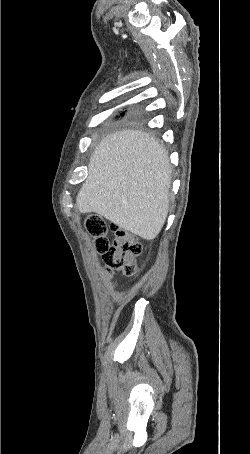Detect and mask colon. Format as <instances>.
Returning <instances> with one entry per match:
<instances>
[{
  "label": "colon",
  "instance_id": "5ec220e1",
  "mask_svg": "<svg viewBox=\"0 0 250 454\" xmlns=\"http://www.w3.org/2000/svg\"><path fill=\"white\" fill-rule=\"evenodd\" d=\"M85 228L93 237L97 251L105 264L108 275L122 273L125 276L135 274L134 258L142 252L141 243L130 233L116 230L112 243L107 239L109 226L101 217L91 215L85 221Z\"/></svg>",
  "mask_w": 250,
  "mask_h": 454
}]
</instances>
